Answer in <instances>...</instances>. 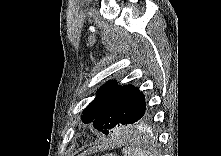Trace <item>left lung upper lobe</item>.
<instances>
[{
    "label": "left lung upper lobe",
    "mask_w": 221,
    "mask_h": 156,
    "mask_svg": "<svg viewBox=\"0 0 221 156\" xmlns=\"http://www.w3.org/2000/svg\"><path fill=\"white\" fill-rule=\"evenodd\" d=\"M148 116L145 96L138 88L108 81L84 110L82 121L93 122L96 129L107 135L112 128L136 125Z\"/></svg>",
    "instance_id": "obj_1"
}]
</instances>
